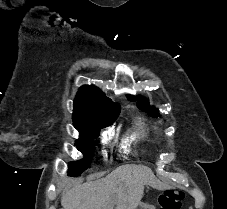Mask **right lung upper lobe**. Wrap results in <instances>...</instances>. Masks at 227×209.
Segmentation results:
<instances>
[{"mask_svg": "<svg viewBox=\"0 0 227 209\" xmlns=\"http://www.w3.org/2000/svg\"><path fill=\"white\" fill-rule=\"evenodd\" d=\"M120 113V105L106 98L95 86H82L74 100L73 120L85 117L116 119Z\"/></svg>", "mask_w": 227, "mask_h": 209, "instance_id": "cb5924a9", "label": "right lung upper lobe"}]
</instances>
